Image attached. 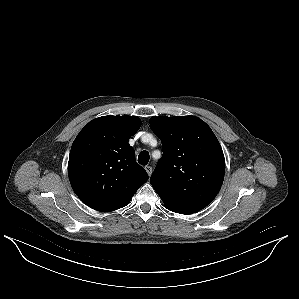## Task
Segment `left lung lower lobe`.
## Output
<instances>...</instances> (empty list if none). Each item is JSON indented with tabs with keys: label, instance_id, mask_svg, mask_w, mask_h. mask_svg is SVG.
I'll list each match as a JSON object with an SVG mask.
<instances>
[{
	"label": "left lung lower lobe",
	"instance_id": "left-lung-lower-lobe-1",
	"mask_svg": "<svg viewBox=\"0 0 299 299\" xmlns=\"http://www.w3.org/2000/svg\"><path fill=\"white\" fill-rule=\"evenodd\" d=\"M174 212V211H173ZM177 213H180V212H177ZM181 214H191V213H181Z\"/></svg>",
	"mask_w": 299,
	"mask_h": 299
}]
</instances>
